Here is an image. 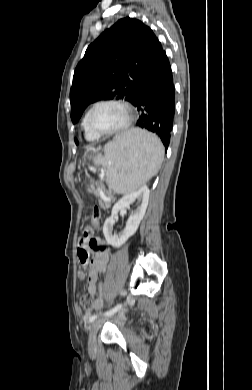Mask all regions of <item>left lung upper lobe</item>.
I'll list each match as a JSON object with an SVG mask.
<instances>
[{
	"label": "left lung upper lobe",
	"instance_id": "5c2ea615",
	"mask_svg": "<svg viewBox=\"0 0 252 390\" xmlns=\"http://www.w3.org/2000/svg\"><path fill=\"white\" fill-rule=\"evenodd\" d=\"M161 51L153 31L137 19L122 18L105 30L88 46L75 69L70 90L72 122L93 102H132L139 82Z\"/></svg>",
	"mask_w": 252,
	"mask_h": 390
}]
</instances>
